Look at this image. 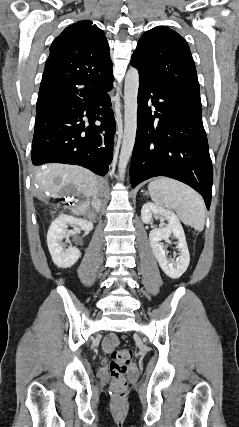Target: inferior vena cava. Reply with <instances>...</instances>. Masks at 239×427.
<instances>
[{"mask_svg": "<svg viewBox=\"0 0 239 427\" xmlns=\"http://www.w3.org/2000/svg\"><path fill=\"white\" fill-rule=\"evenodd\" d=\"M98 204L100 205L101 204V202L98 200Z\"/></svg>", "mask_w": 239, "mask_h": 427, "instance_id": "602c4592", "label": "inferior vena cava"}]
</instances>
